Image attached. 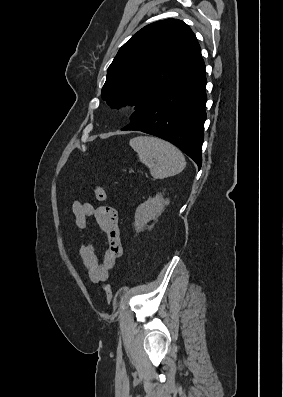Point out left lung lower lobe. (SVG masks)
Returning <instances> with one entry per match:
<instances>
[{
    "label": "left lung lower lobe",
    "mask_w": 283,
    "mask_h": 397,
    "mask_svg": "<svg viewBox=\"0 0 283 397\" xmlns=\"http://www.w3.org/2000/svg\"><path fill=\"white\" fill-rule=\"evenodd\" d=\"M205 65L166 92L121 130L142 131L180 148L201 168L204 121L207 118Z\"/></svg>",
    "instance_id": "1"
}]
</instances>
